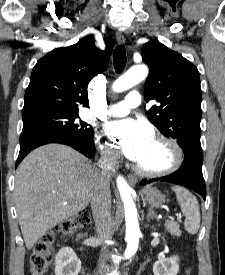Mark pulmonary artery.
I'll use <instances>...</instances> for the list:
<instances>
[{"instance_id":"e3ab8cb5","label":"pulmonary artery","mask_w":225,"mask_h":275,"mask_svg":"<svg viewBox=\"0 0 225 275\" xmlns=\"http://www.w3.org/2000/svg\"><path fill=\"white\" fill-rule=\"evenodd\" d=\"M140 104V93L138 91H131L126 95L125 100L111 104L108 107V113L113 116H124L128 114L132 108H136Z\"/></svg>"}]
</instances>
